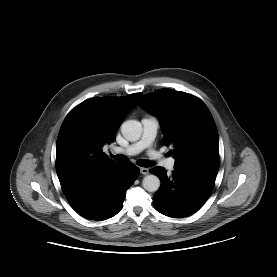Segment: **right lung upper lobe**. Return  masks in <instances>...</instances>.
Masks as SVG:
<instances>
[{
  "instance_id": "1",
  "label": "right lung upper lobe",
  "mask_w": 277,
  "mask_h": 277,
  "mask_svg": "<svg viewBox=\"0 0 277 277\" xmlns=\"http://www.w3.org/2000/svg\"><path fill=\"white\" fill-rule=\"evenodd\" d=\"M141 96L95 97L68 114L56 147V171L62 187L114 164L102 147L114 141L120 124Z\"/></svg>"
}]
</instances>
